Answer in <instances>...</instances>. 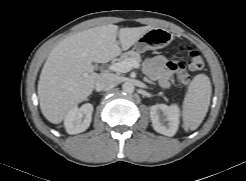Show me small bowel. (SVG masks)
<instances>
[{
  "instance_id": "obj_1",
  "label": "small bowel",
  "mask_w": 246,
  "mask_h": 181,
  "mask_svg": "<svg viewBox=\"0 0 246 181\" xmlns=\"http://www.w3.org/2000/svg\"><path fill=\"white\" fill-rule=\"evenodd\" d=\"M145 68L147 73L153 79L158 80L161 86L167 87L170 77L174 71L180 68V65L176 62H169L166 57L158 55L149 58L146 61Z\"/></svg>"
}]
</instances>
